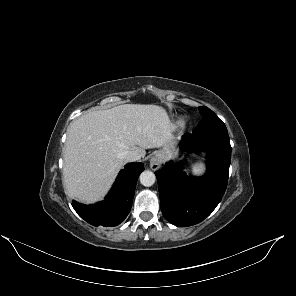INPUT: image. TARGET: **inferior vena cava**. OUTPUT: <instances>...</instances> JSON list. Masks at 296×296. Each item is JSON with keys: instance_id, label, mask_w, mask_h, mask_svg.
<instances>
[{"instance_id": "602c4592", "label": "inferior vena cava", "mask_w": 296, "mask_h": 296, "mask_svg": "<svg viewBox=\"0 0 296 296\" xmlns=\"http://www.w3.org/2000/svg\"><path fill=\"white\" fill-rule=\"evenodd\" d=\"M122 156L126 162L137 161L141 158V156L137 152H134V151H127V152L123 153Z\"/></svg>"}]
</instances>
